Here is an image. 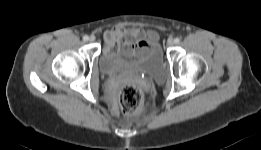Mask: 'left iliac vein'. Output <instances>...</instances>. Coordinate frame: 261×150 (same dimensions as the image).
<instances>
[{"mask_svg":"<svg viewBox=\"0 0 261 150\" xmlns=\"http://www.w3.org/2000/svg\"><path fill=\"white\" fill-rule=\"evenodd\" d=\"M174 44V40L172 39V38H169L168 40H167V45L168 46H172Z\"/></svg>","mask_w":261,"mask_h":150,"instance_id":"1","label":"left iliac vein"}]
</instances>
